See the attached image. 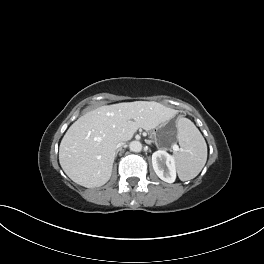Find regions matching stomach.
Wrapping results in <instances>:
<instances>
[{"mask_svg": "<svg viewBox=\"0 0 264 264\" xmlns=\"http://www.w3.org/2000/svg\"><path fill=\"white\" fill-rule=\"evenodd\" d=\"M183 116L181 114L171 117L169 121L156 128L153 132L155 145L159 149H166L169 145H173L177 141V125L176 122L181 121Z\"/></svg>", "mask_w": 264, "mask_h": 264, "instance_id": "0dacf381", "label": "stomach"}]
</instances>
